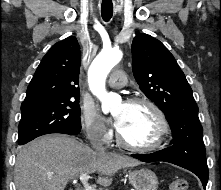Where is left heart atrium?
<instances>
[{"instance_id": "left-heart-atrium-1", "label": "left heart atrium", "mask_w": 221, "mask_h": 190, "mask_svg": "<svg viewBox=\"0 0 221 190\" xmlns=\"http://www.w3.org/2000/svg\"><path fill=\"white\" fill-rule=\"evenodd\" d=\"M122 122H123V115L122 114L116 115L114 117L113 124L117 129H119L121 127Z\"/></svg>"}]
</instances>
